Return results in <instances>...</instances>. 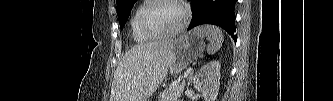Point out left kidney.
<instances>
[{
    "instance_id": "left-kidney-1",
    "label": "left kidney",
    "mask_w": 333,
    "mask_h": 101,
    "mask_svg": "<svg viewBox=\"0 0 333 101\" xmlns=\"http://www.w3.org/2000/svg\"><path fill=\"white\" fill-rule=\"evenodd\" d=\"M219 61H211L203 65L193 78L194 88L202 93L205 101H215L220 88Z\"/></svg>"
}]
</instances>
